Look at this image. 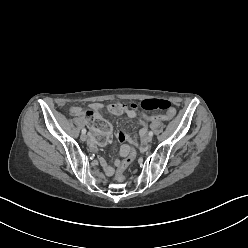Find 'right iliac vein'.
Here are the masks:
<instances>
[{
	"mask_svg": "<svg viewBox=\"0 0 248 248\" xmlns=\"http://www.w3.org/2000/svg\"><path fill=\"white\" fill-rule=\"evenodd\" d=\"M80 139L84 142L87 140V136L85 134H82Z\"/></svg>",
	"mask_w": 248,
	"mask_h": 248,
	"instance_id": "obj_1",
	"label": "right iliac vein"
}]
</instances>
